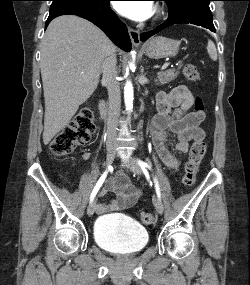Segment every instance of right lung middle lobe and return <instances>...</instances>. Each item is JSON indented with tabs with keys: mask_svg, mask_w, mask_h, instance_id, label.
<instances>
[{
	"mask_svg": "<svg viewBox=\"0 0 250 285\" xmlns=\"http://www.w3.org/2000/svg\"><path fill=\"white\" fill-rule=\"evenodd\" d=\"M102 1L104 0H52L50 14L75 7H94Z\"/></svg>",
	"mask_w": 250,
	"mask_h": 285,
	"instance_id": "dd1d6c3e",
	"label": "right lung middle lobe"
}]
</instances>
